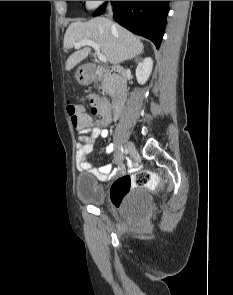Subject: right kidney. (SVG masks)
<instances>
[{
    "instance_id": "1",
    "label": "right kidney",
    "mask_w": 233,
    "mask_h": 295,
    "mask_svg": "<svg viewBox=\"0 0 233 295\" xmlns=\"http://www.w3.org/2000/svg\"><path fill=\"white\" fill-rule=\"evenodd\" d=\"M153 67V60L150 57L145 58L136 68V78L138 83L145 84L148 80Z\"/></svg>"
}]
</instances>
